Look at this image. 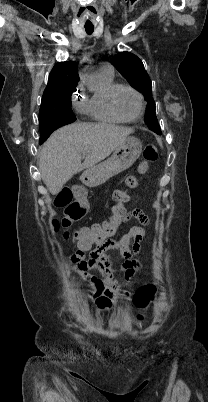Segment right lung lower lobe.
<instances>
[{
  "label": "right lung lower lobe",
  "mask_w": 208,
  "mask_h": 402,
  "mask_svg": "<svg viewBox=\"0 0 208 402\" xmlns=\"http://www.w3.org/2000/svg\"><path fill=\"white\" fill-rule=\"evenodd\" d=\"M66 125L58 120H47L40 123V132L45 135L46 139L51 135L53 131L57 128Z\"/></svg>",
  "instance_id": "right-lung-lower-lobe-1"
}]
</instances>
